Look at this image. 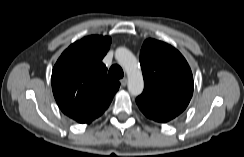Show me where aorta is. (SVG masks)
I'll return each instance as SVG.
<instances>
[{"mask_svg": "<svg viewBox=\"0 0 244 157\" xmlns=\"http://www.w3.org/2000/svg\"><path fill=\"white\" fill-rule=\"evenodd\" d=\"M115 58L127 73L130 94L140 95L144 89V81L136 57L128 49L120 47L115 52Z\"/></svg>", "mask_w": 244, "mask_h": 157, "instance_id": "1", "label": "aorta"}]
</instances>
